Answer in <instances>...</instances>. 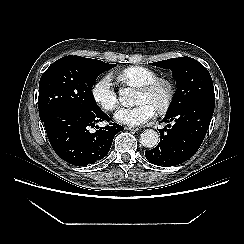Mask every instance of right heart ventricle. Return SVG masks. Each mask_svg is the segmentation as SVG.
Wrapping results in <instances>:
<instances>
[{
	"label": "right heart ventricle",
	"instance_id": "right-heart-ventricle-1",
	"mask_svg": "<svg viewBox=\"0 0 244 244\" xmlns=\"http://www.w3.org/2000/svg\"><path fill=\"white\" fill-rule=\"evenodd\" d=\"M158 77L157 72L143 66H130L116 74V78L121 84L137 88L152 82Z\"/></svg>",
	"mask_w": 244,
	"mask_h": 244
}]
</instances>
